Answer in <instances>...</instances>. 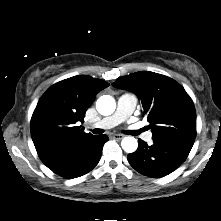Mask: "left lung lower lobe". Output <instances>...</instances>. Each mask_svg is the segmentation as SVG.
<instances>
[{
  "mask_svg": "<svg viewBox=\"0 0 221 221\" xmlns=\"http://www.w3.org/2000/svg\"><path fill=\"white\" fill-rule=\"evenodd\" d=\"M191 146L168 140L153 139V145L139 139L138 149L127 156L139 173L160 178L177 169L187 158Z\"/></svg>",
  "mask_w": 221,
  "mask_h": 221,
  "instance_id": "obj_1",
  "label": "left lung lower lobe"
}]
</instances>
